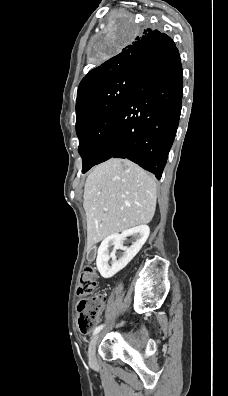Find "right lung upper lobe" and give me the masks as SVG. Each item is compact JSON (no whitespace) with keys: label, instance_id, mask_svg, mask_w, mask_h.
<instances>
[{"label":"right lung upper lobe","instance_id":"right-lung-upper-lobe-1","mask_svg":"<svg viewBox=\"0 0 228 396\" xmlns=\"http://www.w3.org/2000/svg\"><path fill=\"white\" fill-rule=\"evenodd\" d=\"M170 40L158 30L145 29L131 44L116 56L91 70L81 81L77 91L76 113L85 98L109 80L120 75L138 71L142 61L157 47Z\"/></svg>","mask_w":228,"mask_h":396}]
</instances>
